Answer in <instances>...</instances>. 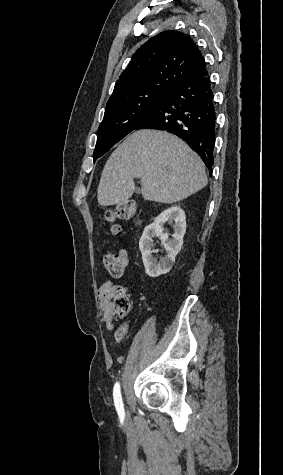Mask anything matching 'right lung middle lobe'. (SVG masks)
<instances>
[{
  "label": "right lung middle lobe",
  "instance_id": "right-lung-middle-lobe-1",
  "mask_svg": "<svg viewBox=\"0 0 283 475\" xmlns=\"http://www.w3.org/2000/svg\"><path fill=\"white\" fill-rule=\"evenodd\" d=\"M168 93L169 91H155L107 104L103 121L97 132L94 162L133 131L136 125L158 106Z\"/></svg>",
  "mask_w": 283,
  "mask_h": 475
}]
</instances>
